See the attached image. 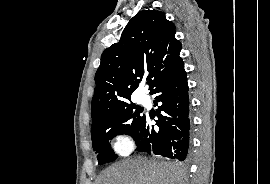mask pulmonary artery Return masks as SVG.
<instances>
[{"mask_svg": "<svg viewBox=\"0 0 270 184\" xmlns=\"http://www.w3.org/2000/svg\"><path fill=\"white\" fill-rule=\"evenodd\" d=\"M146 97L144 96V95H141L140 96V101L142 102V103H145L146 102Z\"/></svg>", "mask_w": 270, "mask_h": 184, "instance_id": "1", "label": "pulmonary artery"}]
</instances>
